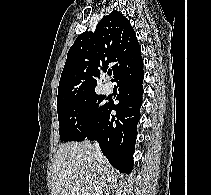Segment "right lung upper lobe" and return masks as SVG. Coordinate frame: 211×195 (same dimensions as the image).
I'll return each mask as SVG.
<instances>
[{
  "label": "right lung upper lobe",
  "instance_id": "obj_1",
  "mask_svg": "<svg viewBox=\"0 0 211 195\" xmlns=\"http://www.w3.org/2000/svg\"><path fill=\"white\" fill-rule=\"evenodd\" d=\"M142 63L140 45L130 21L120 12L112 11L101 19L94 33L80 34L69 49L57 104L94 92L97 78L109 64L117 80Z\"/></svg>",
  "mask_w": 211,
  "mask_h": 195
}]
</instances>
